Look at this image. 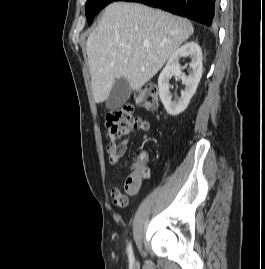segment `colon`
<instances>
[{"label":"colon","instance_id":"colon-1","mask_svg":"<svg viewBox=\"0 0 265 269\" xmlns=\"http://www.w3.org/2000/svg\"><path fill=\"white\" fill-rule=\"evenodd\" d=\"M136 104L147 110L155 111L158 107V89L154 85H148L135 96ZM146 126V121L134 115L133 105H124L110 111L106 115L105 127L106 137L113 142L128 135L134 130H142ZM134 174L142 178L149 176V168L143 155H138L132 165Z\"/></svg>","mask_w":265,"mask_h":269}]
</instances>
